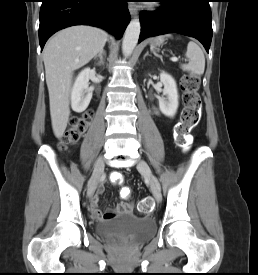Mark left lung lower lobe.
I'll list each match as a JSON object with an SVG mask.
<instances>
[{"label":"left lung lower lobe","mask_w":258,"mask_h":275,"mask_svg":"<svg viewBox=\"0 0 258 275\" xmlns=\"http://www.w3.org/2000/svg\"><path fill=\"white\" fill-rule=\"evenodd\" d=\"M155 12L142 11L139 42L151 36L179 33L198 39L209 52L212 39L209 0H161Z\"/></svg>","instance_id":"1"}]
</instances>
